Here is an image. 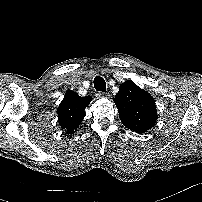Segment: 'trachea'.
<instances>
[{
    "instance_id": "1",
    "label": "trachea",
    "mask_w": 202,
    "mask_h": 202,
    "mask_svg": "<svg viewBox=\"0 0 202 202\" xmlns=\"http://www.w3.org/2000/svg\"><path fill=\"white\" fill-rule=\"evenodd\" d=\"M94 87L97 91L105 92L106 91V82L101 76H96L94 78Z\"/></svg>"
}]
</instances>
